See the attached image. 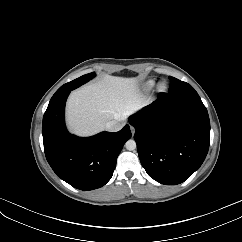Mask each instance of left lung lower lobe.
Listing matches in <instances>:
<instances>
[{"mask_svg": "<svg viewBox=\"0 0 242 242\" xmlns=\"http://www.w3.org/2000/svg\"><path fill=\"white\" fill-rule=\"evenodd\" d=\"M129 122L147 174L166 185L184 182L203 163L210 143V121L197 93L159 94Z\"/></svg>", "mask_w": 242, "mask_h": 242, "instance_id": "left-lung-lower-lobe-1", "label": "left lung lower lobe"}]
</instances>
